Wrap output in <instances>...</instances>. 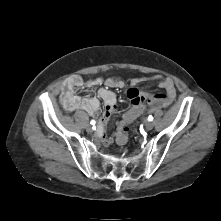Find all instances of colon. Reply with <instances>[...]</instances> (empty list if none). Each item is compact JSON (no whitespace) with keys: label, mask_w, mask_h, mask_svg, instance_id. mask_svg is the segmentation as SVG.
<instances>
[{"label":"colon","mask_w":221,"mask_h":221,"mask_svg":"<svg viewBox=\"0 0 221 221\" xmlns=\"http://www.w3.org/2000/svg\"><path fill=\"white\" fill-rule=\"evenodd\" d=\"M168 104L169 99L163 98L160 94L154 96L147 94L144 101L137 103L134 107L130 108L129 111L124 113L121 122L118 124L114 143L117 146H123L128 141V134L131 131V126L134 124V121L154 106H167Z\"/></svg>","instance_id":"obj_1"}]
</instances>
